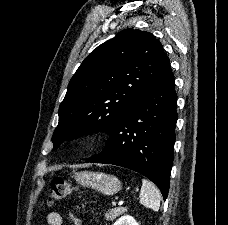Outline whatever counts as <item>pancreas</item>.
Here are the masks:
<instances>
[{"mask_svg":"<svg viewBox=\"0 0 228 225\" xmlns=\"http://www.w3.org/2000/svg\"><path fill=\"white\" fill-rule=\"evenodd\" d=\"M123 213H127V209L125 207H116V209H109L107 213H105L106 221H114L116 217H120Z\"/></svg>","mask_w":228,"mask_h":225,"instance_id":"obj_1","label":"pancreas"}]
</instances>
